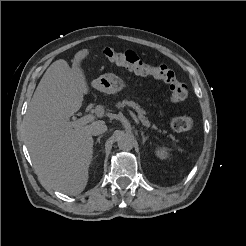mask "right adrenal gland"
Masks as SVG:
<instances>
[{
  "instance_id": "2a0ac1e0",
  "label": "right adrenal gland",
  "mask_w": 246,
  "mask_h": 246,
  "mask_svg": "<svg viewBox=\"0 0 246 246\" xmlns=\"http://www.w3.org/2000/svg\"><path fill=\"white\" fill-rule=\"evenodd\" d=\"M101 137H102V136H99V137L97 138L96 143H100V139H101Z\"/></svg>"
}]
</instances>
